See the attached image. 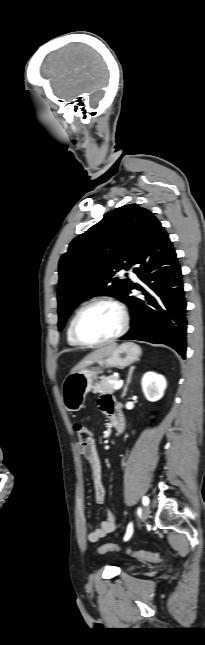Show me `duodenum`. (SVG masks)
Segmentation results:
<instances>
[{"instance_id":"1","label":"duodenum","mask_w":205,"mask_h":645,"mask_svg":"<svg viewBox=\"0 0 205 645\" xmlns=\"http://www.w3.org/2000/svg\"><path fill=\"white\" fill-rule=\"evenodd\" d=\"M113 425L115 429L120 433L124 430V420L123 416L120 412H117L113 419H112Z\"/></svg>"}]
</instances>
